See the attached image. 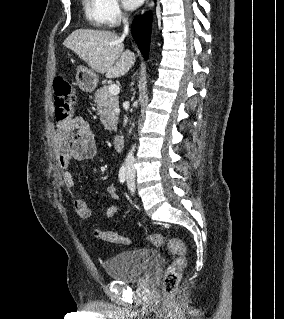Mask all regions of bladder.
<instances>
[{
  "mask_svg": "<svg viewBox=\"0 0 284 319\" xmlns=\"http://www.w3.org/2000/svg\"><path fill=\"white\" fill-rule=\"evenodd\" d=\"M160 254L155 249L141 248L120 252L103 262L109 278L120 282H138L149 276L160 264Z\"/></svg>",
  "mask_w": 284,
  "mask_h": 319,
  "instance_id": "31cf9c89",
  "label": "bladder"
}]
</instances>
